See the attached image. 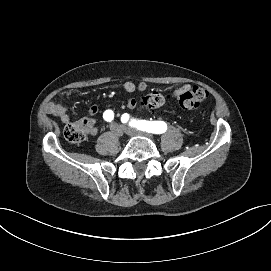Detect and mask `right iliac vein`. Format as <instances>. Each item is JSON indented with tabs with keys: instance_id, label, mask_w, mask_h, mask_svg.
<instances>
[{
	"instance_id": "right-iliac-vein-1",
	"label": "right iliac vein",
	"mask_w": 271,
	"mask_h": 271,
	"mask_svg": "<svg viewBox=\"0 0 271 271\" xmlns=\"http://www.w3.org/2000/svg\"><path fill=\"white\" fill-rule=\"evenodd\" d=\"M110 131H111L114 135H116V136H118V137H120V136L123 135V128H122L120 125L116 124V123H113V124L111 125Z\"/></svg>"
}]
</instances>
